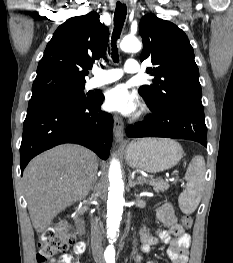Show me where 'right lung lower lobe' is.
Here are the masks:
<instances>
[{
    "label": "right lung lower lobe",
    "mask_w": 233,
    "mask_h": 263,
    "mask_svg": "<svg viewBox=\"0 0 233 263\" xmlns=\"http://www.w3.org/2000/svg\"><path fill=\"white\" fill-rule=\"evenodd\" d=\"M104 97L88 102L54 104L28 110L20 147L23 173L29 161L39 153L62 143H77L107 159L112 144L113 118L100 110Z\"/></svg>",
    "instance_id": "1"
}]
</instances>
